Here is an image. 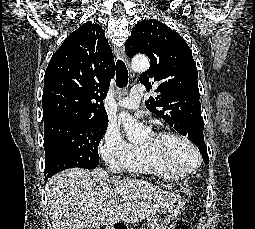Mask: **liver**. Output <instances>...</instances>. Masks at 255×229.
Returning <instances> with one entry per match:
<instances>
[{
  "mask_svg": "<svg viewBox=\"0 0 255 229\" xmlns=\"http://www.w3.org/2000/svg\"><path fill=\"white\" fill-rule=\"evenodd\" d=\"M46 193L53 229L136 223L175 196L143 180L108 179L101 168L64 170L48 180Z\"/></svg>",
  "mask_w": 255,
  "mask_h": 229,
  "instance_id": "1",
  "label": "liver"
}]
</instances>
